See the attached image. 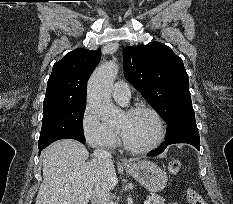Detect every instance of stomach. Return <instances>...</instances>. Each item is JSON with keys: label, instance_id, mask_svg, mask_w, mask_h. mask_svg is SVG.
<instances>
[{"label": "stomach", "instance_id": "0dacf381", "mask_svg": "<svg viewBox=\"0 0 233 204\" xmlns=\"http://www.w3.org/2000/svg\"><path fill=\"white\" fill-rule=\"evenodd\" d=\"M126 171L147 190L159 192L167 184V173L151 161H139L125 166Z\"/></svg>", "mask_w": 233, "mask_h": 204}]
</instances>
